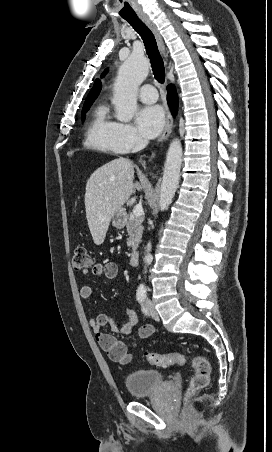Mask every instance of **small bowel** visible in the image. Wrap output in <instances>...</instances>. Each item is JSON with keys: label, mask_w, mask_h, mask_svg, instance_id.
Instances as JSON below:
<instances>
[{"label": "small bowel", "mask_w": 272, "mask_h": 452, "mask_svg": "<svg viewBox=\"0 0 272 452\" xmlns=\"http://www.w3.org/2000/svg\"><path fill=\"white\" fill-rule=\"evenodd\" d=\"M92 274L97 277H104L107 280H113L117 277L119 268L115 262H105V263H95L92 265ZM89 274L88 269L82 270V276L87 277ZM93 294V289L90 285H84L80 289V297L83 300L91 299ZM128 320L123 326L118 329L115 320L108 313H101L96 318H91L89 320V325L93 332L96 334V339L99 346L106 351L111 357L112 349L116 345H121L124 349L125 347L118 342L117 336L128 335L137 325L138 317L136 312L132 308H127L126 310ZM109 326L111 328V333H104L102 331L103 327ZM155 334V328L152 325H144L139 328L137 336L138 340H144Z\"/></svg>", "instance_id": "1"}]
</instances>
